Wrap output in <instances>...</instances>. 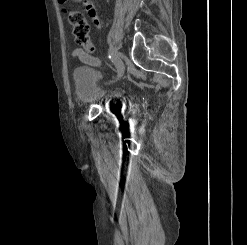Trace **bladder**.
Here are the masks:
<instances>
[{"label": "bladder", "mask_w": 247, "mask_h": 245, "mask_svg": "<svg viewBox=\"0 0 247 245\" xmlns=\"http://www.w3.org/2000/svg\"><path fill=\"white\" fill-rule=\"evenodd\" d=\"M77 101L84 105L109 104L116 105L123 98V90L117 86H108L101 82L98 71L90 67H81L75 70Z\"/></svg>", "instance_id": "31cf9c89"}]
</instances>
